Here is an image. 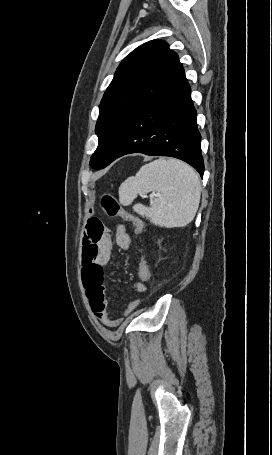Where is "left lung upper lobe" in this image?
Masks as SVG:
<instances>
[{
	"label": "left lung upper lobe",
	"instance_id": "1",
	"mask_svg": "<svg viewBox=\"0 0 272 455\" xmlns=\"http://www.w3.org/2000/svg\"><path fill=\"white\" fill-rule=\"evenodd\" d=\"M178 55L162 40L146 42L120 63L99 106L98 147L90 166L99 169L136 114L181 72Z\"/></svg>",
	"mask_w": 272,
	"mask_h": 455
}]
</instances>
